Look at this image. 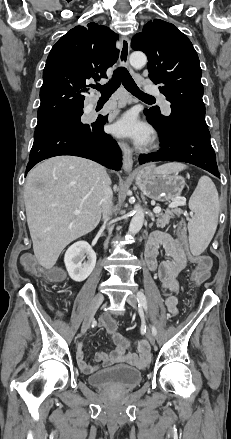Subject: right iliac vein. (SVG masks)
Instances as JSON below:
<instances>
[{
  "label": "right iliac vein",
  "mask_w": 231,
  "mask_h": 439,
  "mask_svg": "<svg viewBox=\"0 0 231 439\" xmlns=\"http://www.w3.org/2000/svg\"><path fill=\"white\" fill-rule=\"evenodd\" d=\"M103 299H104V296L102 293H97L95 295V297L93 298V300L90 304V307L85 315L84 321L82 323V327H81V334L82 335L85 334L86 331L88 330V328L93 320V317H94L98 307L102 303Z\"/></svg>",
  "instance_id": "63e3f726"
}]
</instances>
